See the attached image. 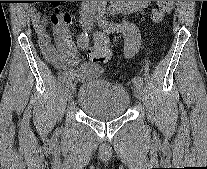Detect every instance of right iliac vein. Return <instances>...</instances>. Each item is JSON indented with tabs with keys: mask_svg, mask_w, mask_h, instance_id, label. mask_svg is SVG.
Returning a JSON list of instances; mask_svg holds the SVG:
<instances>
[{
	"mask_svg": "<svg viewBox=\"0 0 207 169\" xmlns=\"http://www.w3.org/2000/svg\"><path fill=\"white\" fill-rule=\"evenodd\" d=\"M82 22H83V25L86 26L88 23V20L86 18H83ZM65 91H66L67 100L70 101L74 94V85L71 81L66 83Z\"/></svg>",
	"mask_w": 207,
	"mask_h": 169,
	"instance_id": "obj_1",
	"label": "right iliac vein"
}]
</instances>
